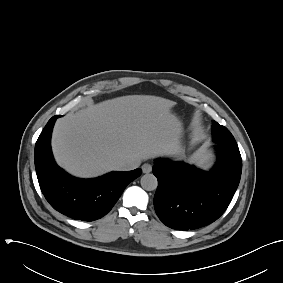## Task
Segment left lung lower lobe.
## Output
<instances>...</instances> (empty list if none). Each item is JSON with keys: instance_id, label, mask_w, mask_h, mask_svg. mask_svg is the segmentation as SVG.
I'll return each mask as SVG.
<instances>
[{"instance_id": "left-lung-lower-lobe-1", "label": "left lung lower lobe", "mask_w": 283, "mask_h": 283, "mask_svg": "<svg viewBox=\"0 0 283 283\" xmlns=\"http://www.w3.org/2000/svg\"><path fill=\"white\" fill-rule=\"evenodd\" d=\"M210 172L158 159L152 171L158 179L154 207L159 219L177 230L197 229L217 220L239 185L242 159L238 150L217 145Z\"/></svg>"}]
</instances>
